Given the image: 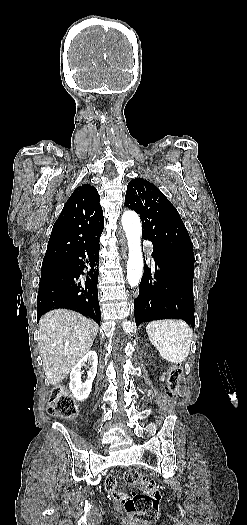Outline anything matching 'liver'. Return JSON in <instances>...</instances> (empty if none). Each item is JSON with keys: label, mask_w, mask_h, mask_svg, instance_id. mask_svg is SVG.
Returning a JSON list of instances; mask_svg holds the SVG:
<instances>
[{"label": "liver", "mask_w": 247, "mask_h": 525, "mask_svg": "<svg viewBox=\"0 0 247 525\" xmlns=\"http://www.w3.org/2000/svg\"><path fill=\"white\" fill-rule=\"evenodd\" d=\"M98 325L80 313L54 309L39 321V349L50 385H58L89 353Z\"/></svg>", "instance_id": "1"}]
</instances>
